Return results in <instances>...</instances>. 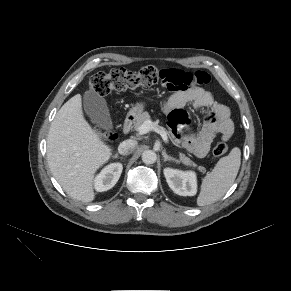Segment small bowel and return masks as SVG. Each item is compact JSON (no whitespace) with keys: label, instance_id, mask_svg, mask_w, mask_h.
Wrapping results in <instances>:
<instances>
[{"label":"small bowel","instance_id":"c3829d8e","mask_svg":"<svg viewBox=\"0 0 291 291\" xmlns=\"http://www.w3.org/2000/svg\"><path fill=\"white\" fill-rule=\"evenodd\" d=\"M167 72L170 75L188 77L190 80L188 86L177 90L164 104V111L168 114L172 133L189 152L203 157L217 136L225 141L232 136L234 124L230 117V110L226 105L217 102L210 92L198 86L199 82L196 77L195 80H192L190 74L177 69ZM188 104L196 109H208L206 121L196 134L184 133L189 125L188 115L185 111Z\"/></svg>","mask_w":291,"mask_h":291}]
</instances>
